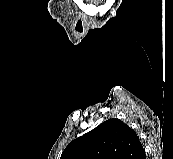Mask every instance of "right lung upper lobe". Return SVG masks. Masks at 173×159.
I'll return each mask as SVG.
<instances>
[{
	"instance_id": "right-lung-upper-lobe-1",
	"label": "right lung upper lobe",
	"mask_w": 173,
	"mask_h": 159,
	"mask_svg": "<svg viewBox=\"0 0 173 159\" xmlns=\"http://www.w3.org/2000/svg\"><path fill=\"white\" fill-rule=\"evenodd\" d=\"M144 155L134 130L119 119H109L69 143L61 159H141Z\"/></svg>"
}]
</instances>
